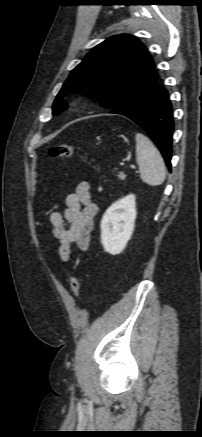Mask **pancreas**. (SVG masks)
<instances>
[{"label":"pancreas","instance_id":"obj_1","mask_svg":"<svg viewBox=\"0 0 202 437\" xmlns=\"http://www.w3.org/2000/svg\"><path fill=\"white\" fill-rule=\"evenodd\" d=\"M118 177H119L120 180H125V178H126V174H124V173L121 172V173L118 175Z\"/></svg>","mask_w":202,"mask_h":437}]
</instances>
